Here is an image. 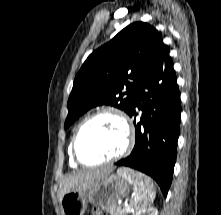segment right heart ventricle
Returning a JSON list of instances; mask_svg holds the SVG:
<instances>
[{
	"label": "right heart ventricle",
	"mask_w": 221,
	"mask_h": 215,
	"mask_svg": "<svg viewBox=\"0 0 221 215\" xmlns=\"http://www.w3.org/2000/svg\"><path fill=\"white\" fill-rule=\"evenodd\" d=\"M70 163H71L72 166H76V162L74 161L71 153H70Z\"/></svg>",
	"instance_id": "1"
}]
</instances>
